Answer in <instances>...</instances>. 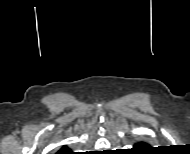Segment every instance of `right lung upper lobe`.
Returning a JSON list of instances; mask_svg holds the SVG:
<instances>
[{
	"label": "right lung upper lobe",
	"instance_id": "cb5924a9",
	"mask_svg": "<svg viewBox=\"0 0 190 154\" xmlns=\"http://www.w3.org/2000/svg\"><path fill=\"white\" fill-rule=\"evenodd\" d=\"M63 149H67V147H66V146H64L61 150H63Z\"/></svg>",
	"mask_w": 190,
	"mask_h": 154
}]
</instances>
